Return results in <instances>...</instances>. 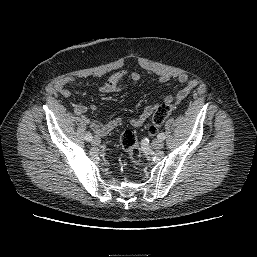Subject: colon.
<instances>
[{
	"label": "colon",
	"instance_id": "5ec220e1",
	"mask_svg": "<svg viewBox=\"0 0 257 257\" xmlns=\"http://www.w3.org/2000/svg\"><path fill=\"white\" fill-rule=\"evenodd\" d=\"M175 103H163L159 105L153 113L149 132L155 133L157 128L167 119L172 112ZM120 145L127 153L130 163L134 166L141 162V151L134 132L125 131L120 137Z\"/></svg>",
	"mask_w": 257,
	"mask_h": 257
}]
</instances>
